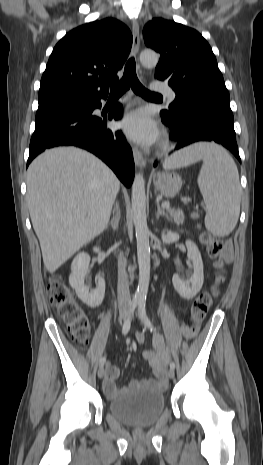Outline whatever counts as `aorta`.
Wrapping results in <instances>:
<instances>
[{
	"label": "aorta",
	"instance_id": "762f6f07",
	"mask_svg": "<svg viewBox=\"0 0 263 465\" xmlns=\"http://www.w3.org/2000/svg\"><path fill=\"white\" fill-rule=\"evenodd\" d=\"M158 61L159 55L154 51L146 50L140 54V62L145 67H155ZM131 201L139 265V283L134 301L144 303L150 280V232L147 226L145 181L141 173L135 175L132 184Z\"/></svg>",
	"mask_w": 263,
	"mask_h": 465
}]
</instances>
